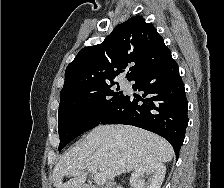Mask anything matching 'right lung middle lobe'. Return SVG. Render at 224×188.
<instances>
[{
  "label": "right lung middle lobe",
  "mask_w": 224,
  "mask_h": 188,
  "mask_svg": "<svg viewBox=\"0 0 224 188\" xmlns=\"http://www.w3.org/2000/svg\"><path fill=\"white\" fill-rule=\"evenodd\" d=\"M115 82L60 93L58 110L59 151L82 133L96 127L124 100Z\"/></svg>",
  "instance_id": "obj_1"
}]
</instances>
